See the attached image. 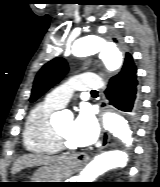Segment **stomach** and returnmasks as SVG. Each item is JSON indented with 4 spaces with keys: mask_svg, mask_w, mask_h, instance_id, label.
<instances>
[{
    "mask_svg": "<svg viewBox=\"0 0 160 187\" xmlns=\"http://www.w3.org/2000/svg\"><path fill=\"white\" fill-rule=\"evenodd\" d=\"M76 168V164L65 158L49 166L39 168L32 176L30 182H64ZM61 183H31V187H54Z\"/></svg>",
    "mask_w": 160,
    "mask_h": 187,
    "instance_id": "0dacf381",
    "label": "stomach"
}]
</instances>
